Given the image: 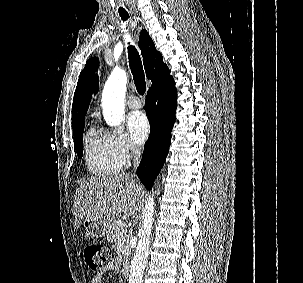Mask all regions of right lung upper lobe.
<instances>
[{
    "mask_svg": "<svg viewBox=\"0 0 303 283\" xmlns=\"http://www.w3.org/2000/svg\"><path fill=\"white\" fill-rule=\"evenodd\" d=\"M139 47L146 76L152 81V86L150 88H154L170 79V71L163 62L162 54L156 50L153 40L145 29L140 33ZM97 65L98 58H91L86 62L84 69L80 73L72 105L73 127L84 122L88 105L92 97L91 79Z\"/></svg>",
    "mask_w": 303,
    "mask_h": 283,
    "instance_id": "cb5924a9",
    "label": "right lung upper lobe"
}]
</instances>
